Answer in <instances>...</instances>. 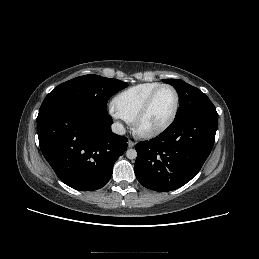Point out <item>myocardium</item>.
<instances>
[{"instance_id": "f54148a6", "label": "myocardium", "mask_w": 259, "mask_h": 259, "mask_svg": "<svg viewBox=\"0 0 259 259\" xmlns=\"http://www.w3.org/2000/svg\"><path fill=\"white\" fill-rule=\"evenodd\" d=\"M163 88L171 89L175 95V105H174L173 111H172L170 117L163 124H161L160 126L154 128V129L145 130L141 127V124H142L143 120L145 119V117L147 116L156 94ZM179 105H180V96H179L177 89L170 84H166V83L160 84L158 87H156L150 93V95L146 99L145 103L143 104L142 108L136 115V117L133 121L135 133L138 136L143 137V138H154L156 136H159L160 134L165 132L175 121L178 111H179Z\"/></svg>"}]
</instances>
